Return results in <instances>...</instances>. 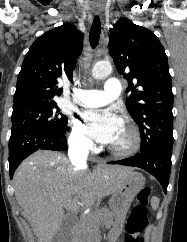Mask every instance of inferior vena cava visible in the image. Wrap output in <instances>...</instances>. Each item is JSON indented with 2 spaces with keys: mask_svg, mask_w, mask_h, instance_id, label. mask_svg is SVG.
<instances>
[{
  "mask_svg": "<svg viewBox=\"0 0 187 242\" xmlns=\"http://www.w3.org/2000/svg\"><path fill=\"white\" fill-rule=\"evenodd\" d=\"M89 145L85 142H75L69 147L68 155L70 162L75 167H82L86 165Z\"/></svg>",
  "mask_w": 187,
  "mask_h": 242,
  "instance_id": "inferior-vena-cava-1",
  "label": "inferior vena cava"
}]
</instances>
